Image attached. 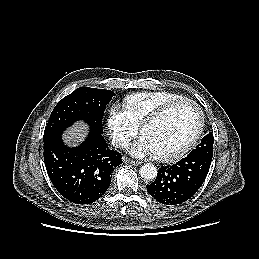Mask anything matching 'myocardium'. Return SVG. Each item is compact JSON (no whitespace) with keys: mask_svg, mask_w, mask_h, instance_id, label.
Here are the masks:
<instances>
[{"mask_svg":"<svg viewBox=\"0 0 259 259\" xmlns=\"http://www.w3.org/2000/svg\"><path fill=\"white\" fill-rule=\"evenodd\" d=\"M180 105H190L196 109L199 116V123L198 127L193 134V136L179 149L167 153V154H155L154 157L162 162H172L174 160H177L187 154L198 142L200 139L204 126H205V116L203 113V110L201 107L194 101L190 99H181L177 101L170 102L164 106H162L160 109H158L156 112H154L152 115H150L148 118H146L140 125V133L143 134V131L146 127L158 122L161 120L164 116H166L171 110L174 108L180 106Z\"/></svg>","mask_w":259,"mask_h":259,"instance_id":"f54148a6","label":"myocardium"}]
</instances>
